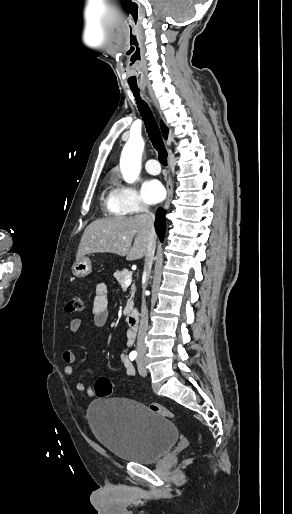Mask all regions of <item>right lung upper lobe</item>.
I'll return each instance as SVG.
<instances>
[{
    "label": "right lung upper lobe",
    "instance_id": "1",
    "mask_svg": "<svg viewBox=\"0 0 292 514\" xmlns=\"http://www.w3.org/2000/svg\"><path fill=\"white\" fill-rule=\"evenodd\" d=\"M161 130H162V134H163V137L165 139H167V136H168V128L164 125V123L161 121Z\"/></svg>",
    "mask_w": 292,
    "mask_h": 514
}]
</instances>
